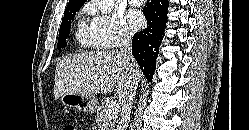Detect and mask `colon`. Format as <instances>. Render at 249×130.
Segmentation results:
<instances>
[{
    "label": "colon",
    "mask_w": 249,
    "mask_h": 130,
    "mask_svg": "<svg viewBox=\"0 0 249 130\" xmlns=\"http://www.w3.org/2000/svg\"><path fill=\"white\" fill-rule=\"evenodd\" d=\"M62 130H76V127L72 123H67V124L64 125Z\"/></svg>",
    "instance_id": "1"
}]
</instances>
